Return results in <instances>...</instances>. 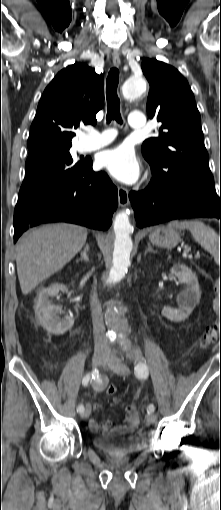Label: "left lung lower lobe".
<instances>
[{
    "instance_id": "0a47b994",
    "label": "left lung lower lobe",
    "mask_w": 221,
    "mask_h": 510,
    "mask_svg": "<svg viewBox=\"0 0 221 510\" xmlns=\"http://www.w3.org/2000/svg\"><path fill=\"white\" fill-rule=\"evenodd\" d=\"M135 219L139 227L156 225L165 221L216 217L221 222V191L197 185L162 188L154 177L143 191L129 194Z\"/></svg>"
}]
</instances>
